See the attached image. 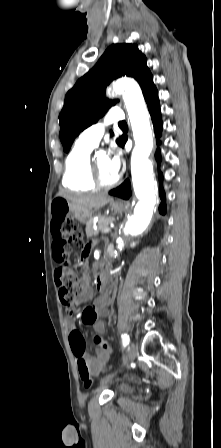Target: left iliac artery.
<instances>
[{
    "instance_id": "44dca946",
    "label": "left iliac artery",
    "mask_w": 221,
    "mask_h": 448,
    "mask_svg": "<svg viewBox=\"0 0 221 448\" xmlns=\"http://www.w3.org/2000/svg\"><path fill=\"white\" fill-rule=\"evenodd\" d=\"M129 342H130L129 336L127 334H123L122 335L123 346L126 347L129 344Z\"/></svg>"
}]
</instances>
